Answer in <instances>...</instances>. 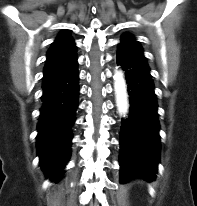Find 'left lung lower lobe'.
<instances>
[{"label": "left lung lower lobe", "mask_w": 197, "mask_h": 206, "mask_svg": "<svg viewBox=\"0 0 197 206\" xmlns=\"http://www.w3.org/2000/svg\"><path fill=\"white\" fill-rule=\"evenodd\" d=\"M117 64L125 72L130 96V114L121 122V182L134 177L150 181L155 178L160 152L157 101L150 69L120 45Z\"/></svg>", "instance_id": "obj_1"}]
</instances>
